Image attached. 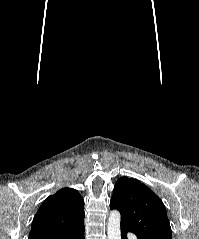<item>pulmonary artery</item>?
<instances>
[{"instance_id": "obj_1", "label": "pulmonary artery", "mask_w": 199, "mask_h": 239, "mask_svg": "<svg viewBox=\"0 0 199 239\" xmlns=\"http://www.w3.org/2000/svg\"><path fill=\"white\" fill-rule=\"evenodd\" d=\"M130 239H136V236L134 234H130Z\"/></svg>"}]
</instances>
